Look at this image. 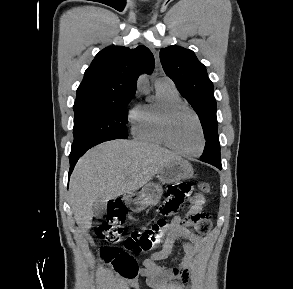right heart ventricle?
Returning <instances> with one entry per match:
<instances>
[{
  "mask_svg": "<svg viewBox=\"0 0 293 289\" xmlns=\"http://www.w3.org/2000/svg\"><path fill=\"white\" fill-rule=\"evenodd\" d=\"M154 103L138 107L132 116V133L138 140L157 145L167 146L161 131L163 110L176 103H182L181 97L174 86L155 87Z\"/></svg>",
  "mask_w": 293,
  "mask_h": 289,
  "instance_id": "e07e8e85",
  "label": "right heart ventricle"
}]
</instances>
